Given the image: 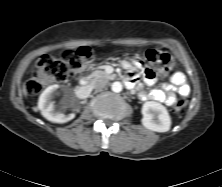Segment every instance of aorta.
Instances as JSON below:
<instances>
[{
    "label": "aorta",
    "mask_w": 222,
    "mask_h": 187,
    "mask_svg": "<svg viewBox=\"0 0 222 187\" xmlns=\"http://www.w3.org/2000/svg\"><path fill=\"white\" fill-rule=\"evenodd\" d=\"M111 89L115 93H119L122 91V84L120 82H114L111 85Z\"/></svg>",
    "instance_id": "aorta-1"
}]
</instances>
